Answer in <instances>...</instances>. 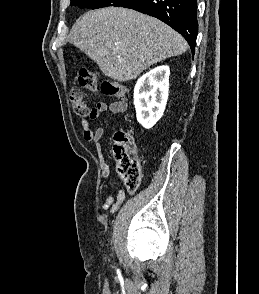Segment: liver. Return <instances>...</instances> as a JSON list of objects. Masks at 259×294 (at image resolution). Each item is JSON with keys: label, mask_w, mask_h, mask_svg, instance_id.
Wrapping results in <instances>:
<instances>
[{"label": "liver", "mask_w": 259, "mask_h": 294, "mask_svg": "<svg viewBox=\"0 0 259 294\" xmlns=\"http://www.w3.org/2000/svg\"><path fill=\"white\" fill-rule=\"evenodd\" d=\"M68 41L119 82L137 78L151 65L183 54L185 39L162 21L122 7L91 10L73 25Z\"/></svg>", "instance_id": "6515ba94"}]
</instances>
